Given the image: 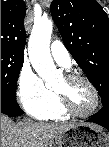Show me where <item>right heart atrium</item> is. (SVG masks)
I'll return each mask as SVG.
<instances>
[{
  "label": "right heart atrium",
  "instance_id": "obj_1",
  "mask_svg": "<svg viewBox=\"0 0 109 147\" xmlns=\"http://www.w3.org/2000/svg\"><path fill=\"white\" fill-rule=\"evenodd\" d=\"M17 97L23 108L32 115L50 107L55 101V94L46 88L29 66H24L20 71Z\"/></svg>",
  "mask_w": 109,
  "mask_h": 147
}]
</instances>
